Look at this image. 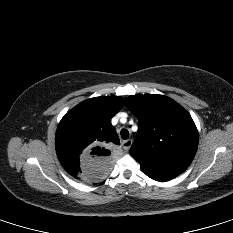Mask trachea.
Masks as SVG:
<instances>
[{
    "mask_svg": "<svg viewBox=\"0 0 233 233\" xmlns=\"http://www.w3.org/2000/svg\"><path fill=\"white\" fill-rule=\"evenodd\" d=\"M120 134L123 140H126L129 137V131L127 129H122Z\"/></svg>",
    "mask_w": 233,
    "mask_h": 233,
    "instance_id": "trachea-1",
    "label": "trachea"
}]
</instances>
